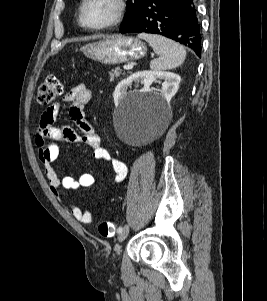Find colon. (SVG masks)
<instances>
[{
    "instance_id": "obj_1",
    "label": "colon",
    "mask_w": 267,
    "mask_h": 301,
    "mask_svg": "<svg viewBox=\"0 0 267 301\" xmlns=\"http://www.w3.org/2000/svg\"><path fill=\"white\" fill-rule=\"evenodd\" d=\"M63 85L55 76H49L40 85L37 93V102L40 105L51 104L57 96L61 95ZM98 233L103 237H112L115 234L116 226L111 221H102L98 224Z\"/></svg>"
}]
</instances>
